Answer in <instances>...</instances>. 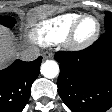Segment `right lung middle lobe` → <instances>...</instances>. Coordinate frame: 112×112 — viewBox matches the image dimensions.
<instances>
[{
	"label": "right lung middle lobe",
	"mask_w": 112,
	"mask_h": 112,
	"mask_svg": "<svg viewBox=\"0 0 112 112\" xmlns=\"http://www.w3.org/2000/svg\"><path fill=\"white\" fill-rule=\"evenodd\" d=\"M16 23V20L10 16H0V24L12 28Z\"/></svg>",
	"instance_id": "dd1d6c3e"
}]
</instances>
